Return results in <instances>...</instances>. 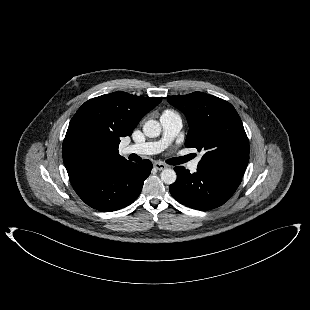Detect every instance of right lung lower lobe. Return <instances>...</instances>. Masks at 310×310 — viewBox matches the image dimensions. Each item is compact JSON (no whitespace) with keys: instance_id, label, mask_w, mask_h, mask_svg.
<instances>
[{"instance_id":"1","label":"right lung lower lobe","mask_w":310,"mask_h":310,"mask_svg":"<svg viewBox=\"0 0 310 310\" xmlns=\"http://www.w3.org/2000/svg\"><path fill=\"white\" fill-rule=\"evenodd\" d=\"M152 169L151 161L107 163L69 175L78 196L99 211H115L134 202Z\"/></svg>"}]
</instances>
